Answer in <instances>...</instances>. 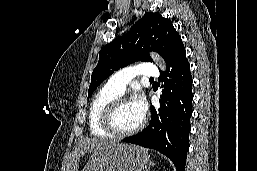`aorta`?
I'll return each instance as SVG.
<instances>
[{
	"instance_id": "obj_1",
	"label": "aorta",
	"mask_w": 257,
	"mask_h": 171,
	"mask_svg": "<svg viewBox=\"0 0 257 171\" xmlns=\"http://www.w3.org/2000/svg\"><path fill=\"white\" fill-rule=\"evenodd\" d=\"M152 57L160 66H162L161 58L157 54H153Z\"/></svg>"
}]
</instances>
